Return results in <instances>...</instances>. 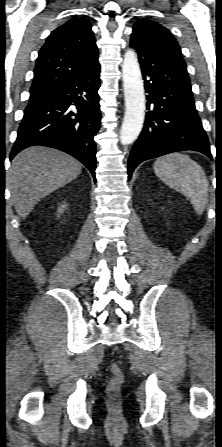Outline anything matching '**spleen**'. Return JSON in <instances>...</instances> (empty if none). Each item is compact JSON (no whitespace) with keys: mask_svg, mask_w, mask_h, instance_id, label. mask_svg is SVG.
Segmentation results:
<instances>
[{"mask_svg":"<svg viewBox=\"0 0 222 447\" xmlns=\"http://www.w3.org/2000/svg\"><path fill=\"white\" fill-rule=\"evenodd\" d=\"M155 174L169 187L190 200L197 214H202L208 202V180L202 167L188 155L171 153L154 163Z\"/></svg>","mask_w":222,"mask_h":447,"instance_id":"spleen-1","label":"spleen"}]
</instances>
